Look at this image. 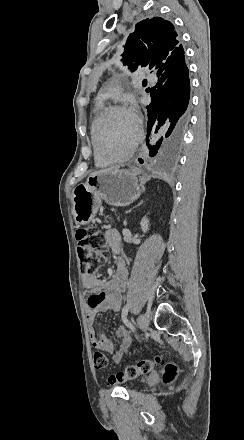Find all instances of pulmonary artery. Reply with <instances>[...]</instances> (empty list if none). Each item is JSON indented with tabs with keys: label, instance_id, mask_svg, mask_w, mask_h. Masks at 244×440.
<instances>
[{
	"label": "pulmonary artery",
	"instance_id": "obj_1",
	"mask_svg": "<svg viewBox=\"0 0 244 440\" xmlns=\"http://www.w3.org/2000/svg\"><path fill=\"white\" fill-rule=\"evenodd\" d=\"M118 93L116 90H103L102 93H98L96 99L98 102H105L106 99H116Z\"/></svg>",
	"mask_w": 244,
	"mask_h": 440
}]
</instances>
